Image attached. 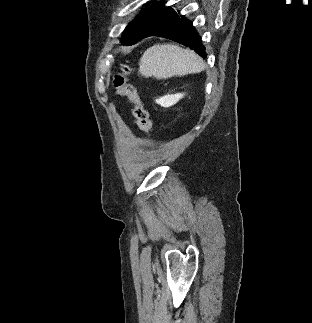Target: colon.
<instances>
[{"instance_id":"obj_1","label":"colon","mask_w":312,"mask_h":323,"mask_svg":"<svg viewBox=\"0 0 312 323\" xmlns=\"http://www.w3.org/2000/svg\"><path fill=\"white\" fill-rule=\"evenodd\" d=\"M129 71V66L124 64L121 72L115 76L114 87L116 95L129 99L134 106V114L140 130L145 135H149L152 131V121L136 86L129 83L124 77V75L128 74Z\"/></svg>"}]
</instances>
